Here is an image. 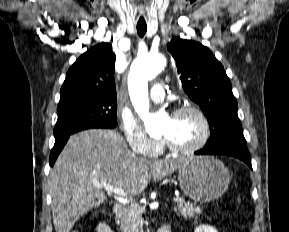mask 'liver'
I'll return each instance as SVG.
<instances>
[{"label":"liver","mask_w":289,"mask_h":232,"mask_svg":"<svg viewBox=\"0 0 289 232\" xmlns=\"http://www.w3.org/2000/svg\"><path fill=\"white\" fill-rule=\"evenodd\" d=\"M184 159L146 160L127 148L115 130L90 129L72 135L49 176L52 216L56 232H70L76 221L106 200V183L130 196L148 184L171 175Z\"/></svg>","instance_id":"obj_1"}]
</instances>
